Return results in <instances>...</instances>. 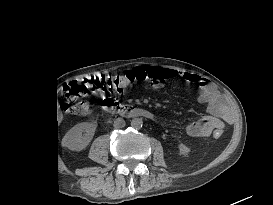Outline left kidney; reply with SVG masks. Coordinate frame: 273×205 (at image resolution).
Listing matches in <instances>:
<instances>
[{"label": "left kidney", "mask_w": 273, "mask_h": 205, "mask_svg": "<svg viewBox=\"0 0 273 205\" xmlns=\"http://www.w3.org/2000/svg\"><path fill=\"white\" fill-rule=\"evenodd\" d=\"M178 147H179V152L182 155H188V153L190 152V149L184 144H180Z\"/></svg>", "instance_id": "left-kidney-1"}]
</instances>
